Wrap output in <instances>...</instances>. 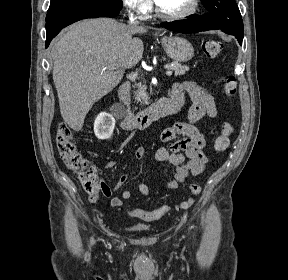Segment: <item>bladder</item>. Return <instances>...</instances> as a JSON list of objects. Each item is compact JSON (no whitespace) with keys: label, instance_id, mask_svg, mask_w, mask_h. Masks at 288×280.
I'll list each match as a JSON object with an SVG mask.
<instances>
[{"label":"bladder","instance_id":"1","mask_svg":"<svg viewBox=\"0 0 288 280\" xmlns=\"http://www.w3.org/2000/svg\"><path fill=\"white\" fill-rule=\"evenodd\" d=\"M148 226L147 225H143V224H137L133 226V229L138 230V231H145L148 230Z\"/></svg>","mask_w":288,"mask_h":280}]
</instances>
